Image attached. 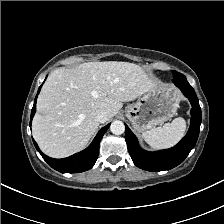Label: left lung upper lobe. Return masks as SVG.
Listing matches in <instances>:
<instances>
[{"mask_svg":"<svg viewBox=\"0 0 224 224\" xmlns=\"http://www.w3.org/2000/svg\"><path fill=\"white\" fill-rule=\"evenodd\" d=\"M172 73H173V79L179 77L180 74H181V73H178L176 71H172Z\"/></svg>","mask_w":224,"mask_h":224,"instance_id":"1","label":"left lung upper lobe"}]
</instances>
